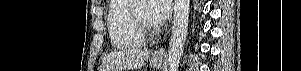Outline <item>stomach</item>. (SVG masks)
I'll return each mask as SVG.
<instances>
[{"label":"stomach","instance_id":"0dacf381","mask_svg":"<svg viewBox=\"0 0 301 71\" xmlns=\"http://www.w3.org/2000/svg\"><path fill=\"white\" fill-rule=\"evenodd\" d=\"M150 65L153 67V68H161V66L163 65V61L162 60H158V59H155V58H151L150 60Z\"/></svg>","mask_w":301,"mask_h":71}]
</instances>
